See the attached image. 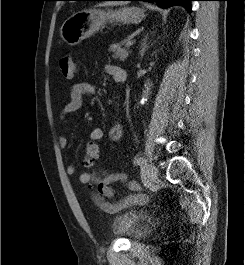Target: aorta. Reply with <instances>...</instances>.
Segmentation results:
<instances>
[{
    "mask_svg": "<svg viewBox=\"0 0 245 265\" xmlns=\"http://www.w3.org/2000/svg\"><path fill=\"white\" fill-rule=\"evenodd\" d=\"M151 86H152V83L150 81H147L143 89V92H142L141 103H145L147 99L149 98Z\"/></svg>",
    "mask_w": 245,
    "mask_h": 265,
    "instance_id": "aorta-1",
    "label": "aorta"
}]
</instances>
